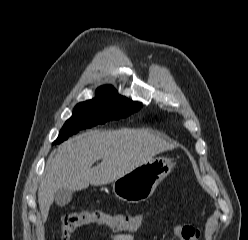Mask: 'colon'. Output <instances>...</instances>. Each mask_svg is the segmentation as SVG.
I'll return each instance as SVG.
<instances>
[{
    "mask_svg": "<svg viewBox=\"0 0 248 240\" xmlns=\"http://www.w3.org/2000/svg\"><path fill=\"white\" fill-rule=\"evenodd\" d=\"M149 217V212L108 215L99 210L69 211L61 216L59 233L61 240H69L77 229L90 224H103L117 233H134L147 223Z\"/></svg>",
    "mask_w": 248,
    "mask_h": 240,
    "instance_id": "5ec220e1",
    "label": "colon"
}]
</instances>
